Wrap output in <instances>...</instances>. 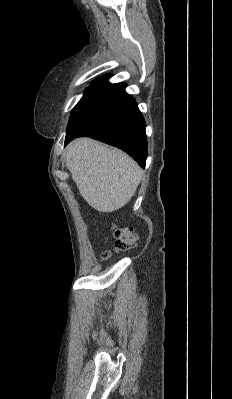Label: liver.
I'll return each mask as SVG.
<instances>
[{"label": "liver", "mask_w": 232, "mask_h": 399, "mask_svg": "<svg viewBox=\"0 0 232 399\" xmlns=\"http://www.w3.org/2000/svg\"><path fill=\"white\" fill-rule=\"evenodd\" d=\"M66 166L81 196L98 211H115L128 203L141 180L130 156L90 138L68 144Z\"/></svg>", "instance_id": "6515ba94"}]
</instances>
